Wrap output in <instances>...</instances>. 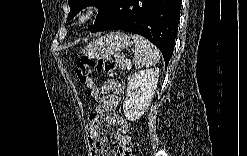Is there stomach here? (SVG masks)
I'll return each instance as SVG.
<instances>
[{
  "instance_id": "0dacf381",
  "label": "stomach",
  "mask_w": 247,
  "mask_h": 156,
  "mask_svg": "<svg viewBox=\"0 0 247 156\" xmlns=\"http://www.w3.org/2000/svg\"><path fill=\"white\" fill-rule=\"evenodd\" d=\"M131 44L130 37L120 31H113L91 41L85 53L90 58H107L115 52L127 48Z\"/></svg>"
}]
</instances>
